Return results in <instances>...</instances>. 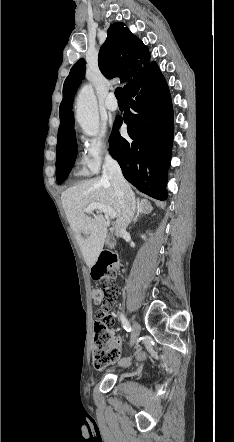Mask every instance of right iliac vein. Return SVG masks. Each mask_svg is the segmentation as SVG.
<instances>
[{"label":"right iliac vein","instance_id":"obj_1","mask_svg":"<svg viewBox=\"0 0 234 442\" xmlns=\"http://www.w3.org/2000/svg\"><path fill=\"white\" fill-rule=\"evenodd\" d=\"M139 334H140V325L137 322H133L131 341H130L131 346H133L136 343Z\"/></svg>","mask_w":234,"mask_h":442}]
</instances>
